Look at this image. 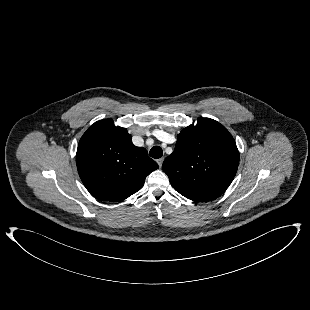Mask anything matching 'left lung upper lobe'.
<instances>
[{"mask_svg": "<svg viewBox=\"0 0 310 310\" xmlns=\"http://www.w3.org/2000/svg\"><path fill=\"white\" fill-rule=\"evenodd\" d=\"M239 151L229 131L210 118H199L178 135L174 152L162 165L171 185L184 197L205 202L218 198L233 181Z\"/></svg>", "mask_w": 310, "mask_h": 310, "instance_id": "obj_1", "label": "left lung upper lobe"}]
</instances>
